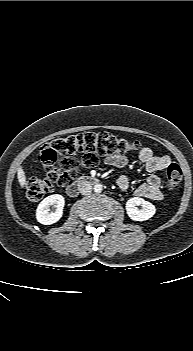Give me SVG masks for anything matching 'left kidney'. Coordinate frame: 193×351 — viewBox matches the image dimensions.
I'll list each match as a JSON object with an SVG mask.
<instances>
[{"mask_svg": "<svg viewBox=\"0 0 193 351\" xmlns=\"http://www.w3.org/2000/svg\"><path fill=\"white\" fill-rule=\"evenodd\" d=\"M141 206L138 209L136 206ZM126 212L134 221H146L153 217L156 212L155 206L143 198L133 197L126 202Z\"/></svg>", "mask_w": 193, "mask_h": 351, "instance_id": "5707ae66", "label": "left kidney"}]
</instances>
